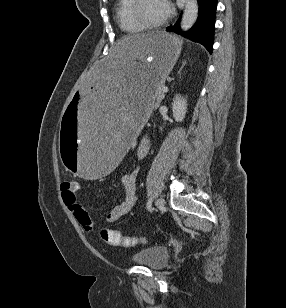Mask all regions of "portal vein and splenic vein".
Wrapping results in <instances>:
<instances>
[{"label":"portal vein and splenic vein","mask_w":286,"mask_h":308,"mask_svg":"<svg viewBox=\"0 0 286 308\" xmlns=\"http://www.w3.org/2000/svg\"><path fill=\"white\" fill-rule=\"evenodd\" d=\"M162 91H163L164 93H166V92H168V88H167V87H163V88H162Z\"/></svg>","instance_id":"18ae733b"}]
</instances>
